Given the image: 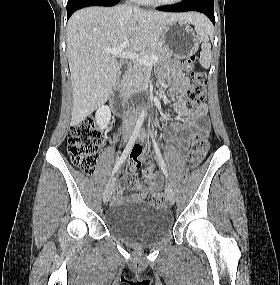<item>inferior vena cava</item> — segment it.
Returning <instances> with one entry per match:
<instances>
[{"instance_id":"obj_1","label":"inferior vena cava","mask_w":280,"mask_h":285,"mask_svg":"<svg viewBox=\"0 0 280 285\" xmlns=\"http://www.w3.org/2000/svg\"><path fill=\"white\" fill-rule=\"evenodd\" d=\"M137 8V7H135ZM136 120V115L135 112L131 111H127L124 119H123V124L128 126V125H133L135 123Z\"/></svg>"}]
</instances>
